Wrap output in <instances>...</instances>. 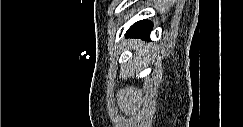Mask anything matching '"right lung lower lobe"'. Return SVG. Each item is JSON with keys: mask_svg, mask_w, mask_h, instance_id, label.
<instances>
[{"mask_svg": "<svg viewBox=\"0 0 243 127\" xmlns=\"http://www.w3.org/2000/svg\"><path fill=\"white\" fill-rule=\"evenodd\" d=\"M152 30V23L148 20H141L133 24L126 33V37L142 38L149 40Z\"/></svg>", "mask_w": 243, "mask_h": 127, "instance_id": "obj_1", "label": "right lung lower lobe"}]
</instances>
